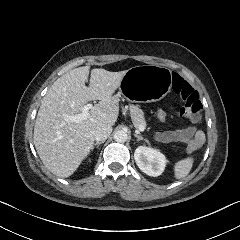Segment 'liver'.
Returning <instances> with one entry per match:
<instances>
[{"label":"liver","mask_w":240,"mask_h":240,"mask_svg":"<svg viewBox=\"0 0 240 240\" xmlns=\"http://www.w3.org/2000/svg\"><path fill=\"white\" fill-rule=\"evenodd\" d=\"M89 66L71 70L59 77L44 96L34 127V145L46 168L59 177H68L90 151L95 130L113 125L118 115L119 97L112 95L126 71L93 69L85 85ZM99 100L91 118L67 122L89 101Z\"/></svg>","instance_id":"6515ba94"}]
</instances>
